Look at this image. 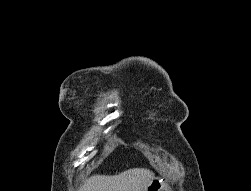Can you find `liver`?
Here are the masks:
<instances>
[{"mask_svg": "<svg viewBox=\"0 0 251 191\" xmlns=\"http://www.w3.org/2000/svg\"><path fill=\"white\" fill-rule=\"evenodd\" d=\"M152 179L153 171L144 167H133L118 175H92L84 181L79 191H146Z\"/></svg>", "mask_w": 251, "mask_h": 191, "instance_id": "obj_1", "label": "liver"}]
</instances>
